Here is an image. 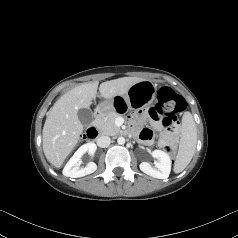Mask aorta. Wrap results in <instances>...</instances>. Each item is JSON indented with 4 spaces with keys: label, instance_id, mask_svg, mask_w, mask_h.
I'll list each match as a JSON object with an SVG mask.
<instances>
[{
    "label": "aorta",
    "instance_id": "762f6f07",
    "mask_svg": "<svg viewBox=\"0 0 238 238\" xmlns=\"http://www.w3.org/2000/svg\"><path fill=\"white\" fill-rule=\"evenodd\" d=\"M117 143H118L119 145L125 144V138H124V137H119V138L117 139Z\"/></svg>",
    "mask_w": 238,
    "mask_h": 238
}]
</instances>
